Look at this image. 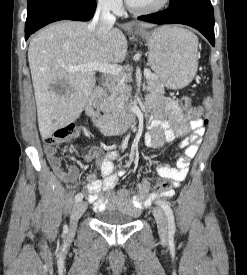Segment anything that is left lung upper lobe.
Listing matches in <instances>:
<instances>
[{
    "label": "left lung upper lobe",
    "mask_w": 247,
    "mask_h": 275,
    "mask_svg": "<svg viewBox=\"0 0 247 275\" xmlns=\"http://www.w3.org/2000/svg\"><path fill=\"white\" fill-rule=\"evenodd\" d=\"M184 1H187V0H170V6L179 4V3L184 2Z\"/></svg>",
    "instance_id": "obj_1"
}]
</instances>
